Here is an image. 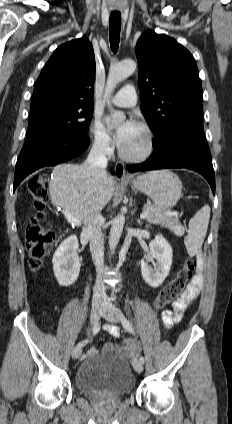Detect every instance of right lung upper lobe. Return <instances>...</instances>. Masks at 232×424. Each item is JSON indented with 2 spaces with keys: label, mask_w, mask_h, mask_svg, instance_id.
<instances>
[{
  "label": "right lung upper lobe",
  "mask_w": 232,
  "mask_h": 424,
  "mask_svg": "<svg viewBox=\"0 0 232 424\" xmlns=\"http://www.w3.org/2000/svg\"><path fill=\"white\" fill-rule=\"evenodd\" d=\"M95 57L86 37L59 46L44 65L31 107L50 103L93 107Z\"/></svg>",
  "instance_id": "right-lung-upper-lobe-1"
}]
</instances>
